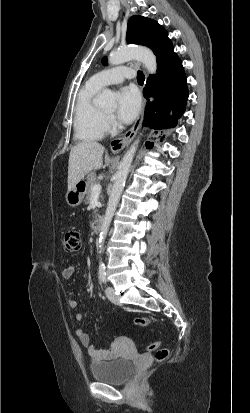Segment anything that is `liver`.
Returning a JSON list of instances; mask_svg holds the SVG:
<instances>
[{
    "instance_id": "1",
    "label": "liver",
    "mask_w": 250,
    "mask_h": 413,
    "mask_svg": "<svg viewBox=\"0 0 250 413\" xmlns=\"http://www.w3.org/2000/svg\"><path fill=\"white\" fill-rule=\"evenodd\" d=\"M104 146L96 141L79 143L71 148L68 162V191L92 170L103 164Z\"/></svg>"
}]
</instances>
